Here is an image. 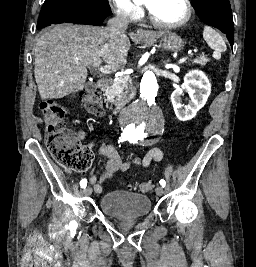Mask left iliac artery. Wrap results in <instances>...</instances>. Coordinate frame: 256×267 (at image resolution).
<instances>
[{
    "label": "left iliac artery",
    "instance_id": "1",
    "mask_svg": "<svg viewBox=\"0 0 256 267\" xmlns=\"http://www.w3.org/2000/svg\"><path fill=\"white\" fill-rule=\"evenodd\" d=\"M129 141H130V143H135L133 140H131V139H129ZM159 183H160V185L162 186V187H165V185H166V182H165V180L164 179H161L160 181H159Z\"/></svg>",
    "mask_w": 256,
    "mask_h": 267
}]
</instances>
